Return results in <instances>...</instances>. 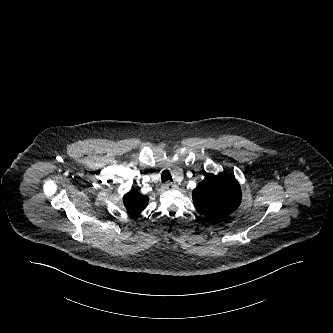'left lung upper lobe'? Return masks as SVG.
<instances>
[{
    "mask_svg": "<svg viewBox=\"0 0 333 333\" xmlns=\"http://www.w3.org/2000/svg\"><path fill=\"white\" fill-rule=\"evenodd\" d=\"M192 196L197 211L213 222L231 214L241 203L240 185L230 174H206Z\"/></svg>",
    "mask_w": 333,
    "mask_h": 333,
    "instance_id": "1",
    "label": "left lung upper lobe"
}]
</instances>
